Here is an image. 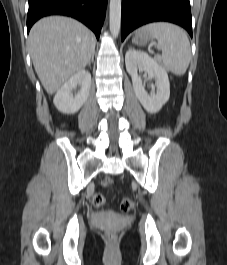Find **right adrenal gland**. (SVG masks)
I'll list each match as a JSON object with an SVG mask.
<instances>
[{
    "mask_svg": "<svg viewBox=\"0 0 227 265\" xmlns=\"http://www.w3.org/2000/svg\"><path fill=\"white\" fill-rule=\"evenodd\" d=\"M93 61H94V54L92 55L91 60L88 63V66H90Z\"/></svg>",
    "mask_w": 227,
    "mask_h": 265,
    "instance_id": "2a0ac1e0",
    "label": "right adrenal gland"
}]
</instances>
